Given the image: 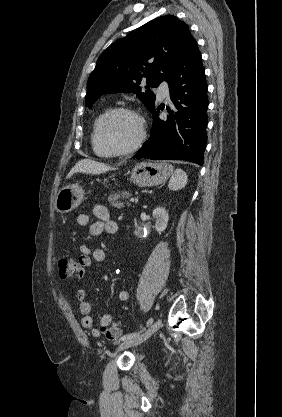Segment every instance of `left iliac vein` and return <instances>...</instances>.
Returning <instances> with one entry per match:
<instances>
[{
	"label": "left iliac vein",
	"mask_w": 282,
	"mask_h": 417,
	"mask_svg": "<svg viewBox=\"0 0 282 417\" xmlns=\"http://www.w3.org/2000/svg\"><path fill=\"white\" fill-rule=\"evenodd\" d=\"M162 326V320L159 319L156 322H154L145 332L131 338L128 340H125L123 342L120 343V345L118 346L116 352L114 353V355L117 354V352L122 351L124 349H127L129 347L132 346H137L139 344H141L142 342L146 341L147 339H149L155 332H157L160 327Z\"/></svg>",
	"instance_id": "4c4485c4"
}]
</instances>
